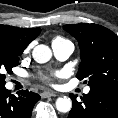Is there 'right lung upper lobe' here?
Wrapping results in <instances>:
<instances>
[{"instance_id":"cb5924a9","label":"right lung upper lobe","mask_w":118,"mask_h":118,"mask_svg":"<svg viewBox=\"0 0 118 118\" xmlns=\"http://www.w3.org/2000/svg\"><path fill=\"white\" fill-rule=\"evenodd\" d=\"M40 28H18L8 25H0V40L14 44L21 49H25L39 33Z\"/></svg>"}]
</instances>
